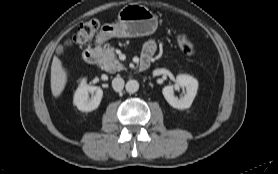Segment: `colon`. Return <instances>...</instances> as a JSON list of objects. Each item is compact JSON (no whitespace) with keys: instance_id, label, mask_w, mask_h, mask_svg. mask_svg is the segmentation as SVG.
I'll use <instances>...</instances> for the list:
<instances>
[{"instance_id":"1","label":"colon","mask_w":278,"mask_h":174,"mask_svg":"<svg viewBox=\"0 0 278 174\" xmlns=\"http://www.w3.org/2000/svg\"><path fill=\"white\" fill-rule=\"evenodd\" d=\"M99 26V22L94 19L81 24L76 32L68 39L67 45H87L99 29ZM178 44L181 50L188 55H193L197 51L196 46L185 33L179 34Z\"/></svg>"}]
</instances>
